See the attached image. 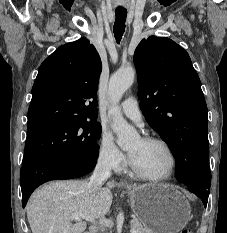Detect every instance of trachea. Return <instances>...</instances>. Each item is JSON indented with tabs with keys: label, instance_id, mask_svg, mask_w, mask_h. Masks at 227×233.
I'll return each mask as SVG.
<instances>
[{
	"label": "trachea",
	"instance_id": "obj_1",
	"mask_svg": "<svg viewBox=\"0 0 227 233\" xmlns=\"http://www.w3.org/2000/svg\"><path fill=\"white\" fill-rule=\"evenodd\" d=\"M116 19L114 23V35L117 43L122 39L125 31V22L127 17V11H115Z\"/></svg>",
	"mask_w": 227,
	"mask_h": 233
}]
</instances>
